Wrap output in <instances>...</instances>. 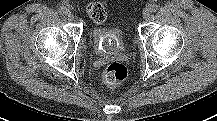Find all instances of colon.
<instances>
[{
	"mask_svg": "<svg viewBox=\"0 0 217 121\" xmlns=\"http://www.w3.org/2000/svg\"><path fill=\"white\" fill-rule=\"evenodd\" d=\"M86 12L91 20L100 25L106 19V8L99 2L88 4ZM128 75V70L122 63H112L103 72V80L109 86H116L123 82Z\"/></svg>",
	"mask_w": 217,
	"mask_h": 121,
	"instance_id": "5ec220e1",
	"label": "colon"
}]
</instances>
